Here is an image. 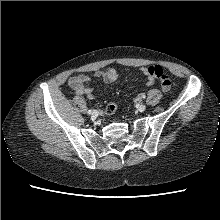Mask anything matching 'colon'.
I'll return each mask as SVG.
<instances>
[{"mask_svg": "<svg viewBox=\"0 0 220 220\" xmlns=\"http://www.w3.org/2000/svg\"><path fill=\"white\" fill-rule=\"evenodd\" d=\"M148 72L158 80L159 85L162 90L169 91L172 87V81L170 77L163 71V69L159 66H149ZM118 109V103L116 101H112L108 103L106 106V114L113 115Z\"/></svg>", "mask_w": 220, "mask_h": 220, "instance_id": "1", "label": "colon"}]
</instances>
